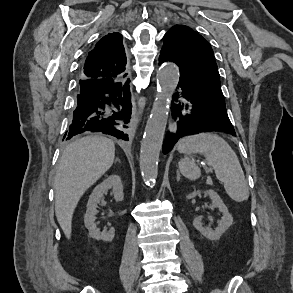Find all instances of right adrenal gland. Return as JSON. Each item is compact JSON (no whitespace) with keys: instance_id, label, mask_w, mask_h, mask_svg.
I'll list each match as a JSON object with an SVG mask.
<instances>
[{"instance_id":"right-adrenal-gland-1","label":"right adrenal gland","mask_w":293,"mask_h":293,"mask_svg":"<svg viewBox=\"0 0 293 293\" xmlns=\"http://www.w3.org/2000/svg\"><path fill=\"white\" fill-rule=\"evenodd\" d=\"M115 162H120V160L118 158H116Z\"/></svg>"}]
</instances>
